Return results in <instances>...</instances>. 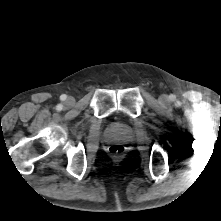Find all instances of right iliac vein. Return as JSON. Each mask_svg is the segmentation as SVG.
<instances>
[{"mask_svg":"<svg viewBox=\"0 0 221 221\" xmlns=\"http://www.w3.org/2000/svg\"><path fill=\"white\" fill-rule=\"evenodd\" d=\"M74 98L73 97H68L66 100L67 105H72L74 103Z\"/></svg>","mask_w":221,"mask_h":221,"instance_id":"63e3f726","label":"right iliac vein"}]
</instances>
